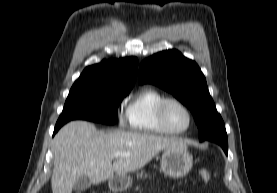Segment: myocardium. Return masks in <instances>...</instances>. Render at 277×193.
Here are the masks:
<instances>
[{
    "label": "myocardium",
    "instance_id": "f54148a6",
    "mask_svg": "<svg viewBox=\"0 0 277 193\" xmlns=\"http://www.w3.org/2000/svg\"><path fill=\"white\" fill-rule=\"evenodd\" d=\"M172 102L179 104L186 111V113L188 115L189 122H188L187 127L183 130H179V131L173 130L167 124L166 117H165V111H166L167 105ZM157 120H158V124H159L160 128L165 133L170 134V135H181V134L188 132L190 130V128L192 127L193 121H194L193 114H192L190 108L188 107V105L185 102H183L182 100L175 98V97H167L161 101V103L159 104L158 109H157Z\"/></svg>",
    "mask_w": 277,
    "mask_h": 193
}]
</instances>
